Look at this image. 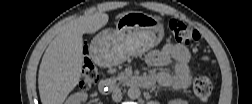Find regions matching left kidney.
Returning a JSON list of instances; mask_svg holds the SVG:
<instances>
[{
    "label": "left kidney",
    "instance_id": "obj_1",
    "mask_svg": "<svg viewBox=\"0 0 252 104\" xmlns=\"http://www.w3.org/2000/svg\"><path fill=\"white\" fill-rule=\"evenodd\" d=\"M173 103H182L181 100H174Z\"/></svg>",
    "mask_w": 252,
    "mask_h": 104
}]
</instances>
